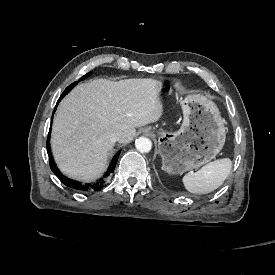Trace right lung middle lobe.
I'll use <instances>...</instances> for the list:
<instances>
[{"label":"right lung middle lobe","mask_w":275,"mask_h":275,"mask_svg":"<svg viewBox=\"0 0 275 275\" xmlns=\"http://www.w3.org/2000/svg\"><path fill=\"white\" fill-rule=\"evenodd\" d=\"M89 75H90V73L84 75V76L82 77V79H85V78L88 77ZM77 83H78V82H74V83H72L70 86H68V87L65 89V91L63 92L62 95L65 96L68 92H70V90H71L75 85H77Z\"/></svg>","instance_id":"right-lung-middle-lobe-1"}]
</instances>
